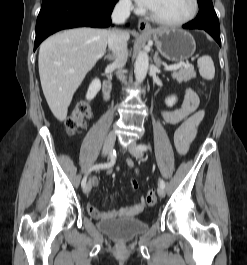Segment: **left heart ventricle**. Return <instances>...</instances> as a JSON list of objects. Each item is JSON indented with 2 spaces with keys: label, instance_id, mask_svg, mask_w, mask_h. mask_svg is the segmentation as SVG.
<instances>
[{
  "label": "left heart ventricle",
  "instance_id": "b2bd125f",
  "mask_svg": "<svg viewBox=\"0 0 247 265\" xmlns=\"http://www.w3.org/2000/svg\"><path fill=\"white\" fill-rule=\"evenodd\" d=\"M192 0H155L150 10L167 20H180L192 11Z\"/></svg>",
  "mask_w": 247,
  "mask_h": 265
}]
</instances>
